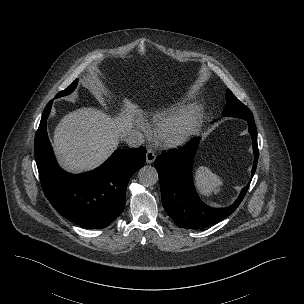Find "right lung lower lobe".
<instances>
[{
  "instance_id": "obj_1",
  "label": "right lung lower lobe",
  "mask_w": 304,
  "mask_h": 304,
  "mask_svg": "<svg viewBox=\"0 0 304 304\" xmlns=\"http://www.w3.org/2000/svg\"><path fill=\"white\" fill-rule=\"evenodd\" d=\"M50 101L35 137V159L44 194L56 211L87 228H105L124 210L131 176L143 167L146 148L116 150L100 167L73 175L56 163L48 139L46 120Z\"/></svg>"
}]
</instances>
